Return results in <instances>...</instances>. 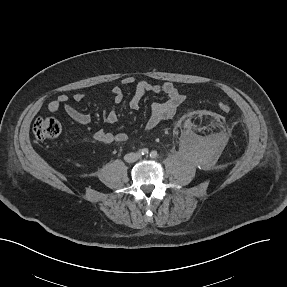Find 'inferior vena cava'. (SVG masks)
Returning <instances> with one entry per match:
<instances>
[{
  "mask_svg": "<svg viewBox=\"0 0 287 287\" xmlns=\"http://www.w3.org/2000/svg\"><path fill=\"white\" fill-rule=\"evenodd\" d=\"M139 158H140V154H138V153H128L124 156V160L128 163L135 162Z\"/></svg>",
  "mask_w": 287,
  "mask_h": 287,
  "instance_id": "1",
  "label": "inferior vena cava"
}]
</instances>
